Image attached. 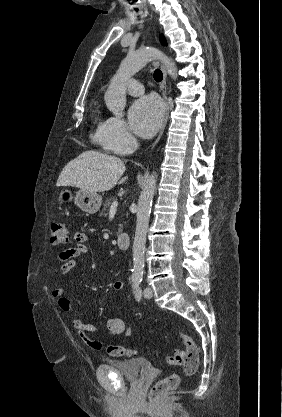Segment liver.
I'll return each mask as SVG.
<instances>
[{
  "label": "liver",
  "mask_w": 282,
  "mask_h": 417,
  "mask_svg": "<svg viewBox=\"0 0 282 417\" xmlns=\"http://www.w3.org/2000/svg\"><path fill=\"white\" fill-rule=\"evenodd\" d=\"M125 170L124 160L118 156L85 150L64 166L57 186H78L81 190L103 192L113 188ZM126 178H121L118 184H122Z\"/></svg>",
  "instance_id": "1"
}]
</instances>
